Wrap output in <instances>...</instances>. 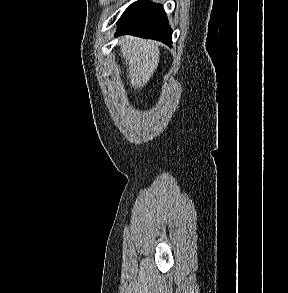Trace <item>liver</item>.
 Returning a JSON list of instances; mask_svg holds the SVG:
<instances>
[{
	"mask_svg": "<svg viewBox=\"0 0 288 293\" xmlns=\"http://www.w3.org/2000/svg\"><path fill=\"white\" fill-rule=\"evenodd\" d=\"M121 53L128 66V79L131 88L144 87L159 63V43L134 37H123L120 40Z\"/></svg>",
	"mask_w": 288,
	"mask_h": 293,
	"instance_id": "6515ba94",
	"label": "liver"
}]
</instances>
